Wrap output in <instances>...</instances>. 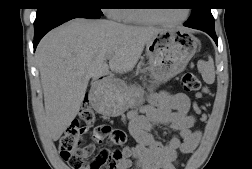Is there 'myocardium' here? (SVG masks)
Returning a JSON list of instances; mask_svg holds the SVG:
<instances>
[{
	"label": "myocardium",
	"mask_w": 252,
	"mask_h": 169,
	"mask_svg": "<svg viewBox=\"0 0 252 169\" xmlns=\"http://www.w3.org/2000/svg\"><path fill=\"white\" fill-rule=\"evenodd\" d=\"M139 15L147 22L149 23H159V24H179L184 22L188 18V10H186L183 14V16L180 19L177 20H166L161 19L153 16L149 12H146L145 10L138 9Z\"/></svg>",
	"instance_id": "myocardium-1"
}]
</instances>
